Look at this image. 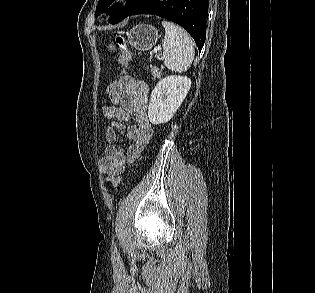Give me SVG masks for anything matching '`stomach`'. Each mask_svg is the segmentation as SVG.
Listing matches in <instances>:
<instances>
[{
	"label": "stomach",
	"mask_w": 315,
	"mask_h": 293,
	"mask_svg": "<svg viewBox=\"0 0 315 293\" xmlns=\"http://www.w3.org/2000/svg\"><path fill=\"white\" fill-rule=\"evenodd\" d=\"M127 43L139 51L151 50L159 39L158 31L151 25L140 24L126 33ZM109 49L114 50L113 45Z\"/></svg>",
	"instance_id": "obj_1"
}]
</instances>
